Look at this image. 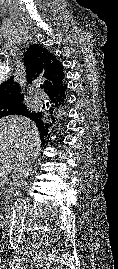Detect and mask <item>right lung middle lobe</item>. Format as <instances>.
<instances>
[{
	"label": "right lung middle lobe",
	"instance_id": "1",
	"mask_svg": "<svg viewBox=\"0 0 118 269\" xmlns=\"http://www.w3.org/2000/svg\"><path fill=\"white\" fill-rule=\"evenodd\" d=\"M25 108L24 104L18 103L13 105H5L0 107V118L8 116V115H15L21 113V111Z\"/></svg>",
	"mask_w": 118,
	"mask_h": 269
}]
</instances>
